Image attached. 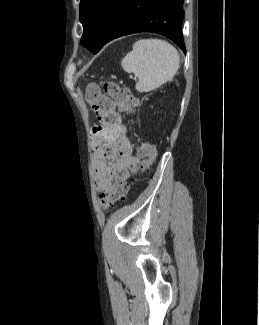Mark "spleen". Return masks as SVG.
<instances>
[{
    "instance_id": "obj_1",
    "label": "spleen",
    "mask_w": 259,
    "mask_h": 325,
    "mask_svg": "<svg viewBox=\"0 0 259 325\" xmlns=\"http://www.w3.org/2000/svg\"><path fill=\"white\" fill-rule=\"evenodd\" d=\"M122 68L138 77L136 90L148 92L172 79L180 67L178 51L161 39H141L121 61Z\"/></svg>"
}]
</instances>
